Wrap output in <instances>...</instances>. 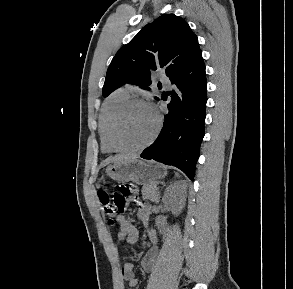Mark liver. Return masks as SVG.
<instances>
[{"instance_id":"obj_1","label":"liver","mask_w":293,"mask_h":289,"mask_svg":"<svg viewBox=\"0 0 293 289\" xmlns=\"http://www.w3.org/2000/svg\"><path fill=\"white\" fill-rule=\"evenodd\" d=\"M137 158L136 155H131V154H119V155H116V156H113L111 158H108L106 159L104 162H103V166H106L110 163H113V162H117V161H122V160H130V159H135Z\"/></svg>"}]
</instances>
